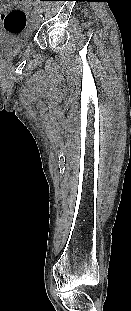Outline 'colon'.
<instances>
[{
  "mask_svg": "<svg viewBox=\"0 0 131 311\" xmlns=\"http://www.w3.org/2000/svg\"><path fill=\"white\" fill-rule=\"evenodd\" d=\"M3 25L6 32L13 34L21 33L27 25L26 14L20 9L12 10L5 16Z\"/></svg>",
  "mask_w": 131,
  "mask_h": 311,
  "instance_id": "colon-1",
  "label": "colon"
}]
</instances>
